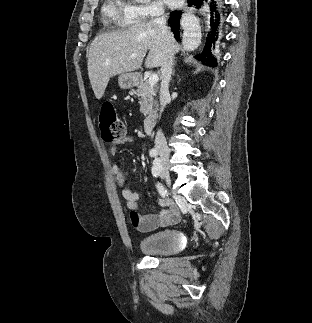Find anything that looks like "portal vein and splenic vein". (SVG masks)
Here are the masks:
<instances>
[{
	"label": "portal vein and splenic vein",
	"mask_w": 312,
	"mask_h": 323,
	"mask_svg": "<svg viewBox=\"0 0 312 323\" xmlns=\"http://www.w3.org/2000/svg\"><path fill=\"white\" fill-rule=\"evenodd\" d=\"M137 54H132V58H136ZM159 78L157 76V74H151L148 82L149 84H151V86H155V84H157Z\"/></svg>",
	"instance_id": "portal-vein-and-splenic-vein-1"
}]
</instances>
